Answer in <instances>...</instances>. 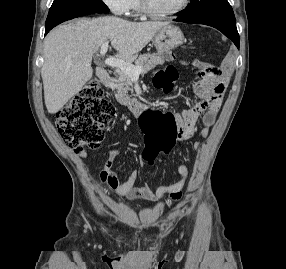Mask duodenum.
I'll return each mask as SVG.
<instances>
[{"mask_svg":"<svg viewBox=\"0 0 286 269\" xmlns=\"http://www.w3.org/2000/svg\"><path fill=\"white\" fill-rule=\"evenodd\" d=\"M98 75L101 78L105 86L110 87L112 85L111 75L105 68L100 67L98 69ZM126 104L130 107L131 111L135 114H139L144 110V106L140 104L139 102L128 101Z\"/></svg>","mask_w":286,"mask_h":269,"instance_id":"duodenum-1","label":"duodenum"}]
</instances>
